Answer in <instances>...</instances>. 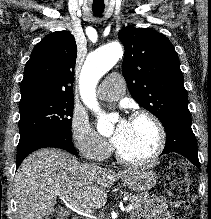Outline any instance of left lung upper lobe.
Listing matches in <instances>:
<instances>
[{"mask_svg":"<svg viewBox=\"0 0 211 219\" xmlns=\"http://www.w3.org/2000/svg\"><path fill=\"white\" fill-rule=\"evenodd\" d=\"M122 73L132 97L165 126L176 116L190 115L178 54L163 34L147 28L123 27Z\"/></svg>","mask_w":211,"mask_h":219,"instance_id":"5c2ea615","label":"left lung upper lobe"}]
</instances>
